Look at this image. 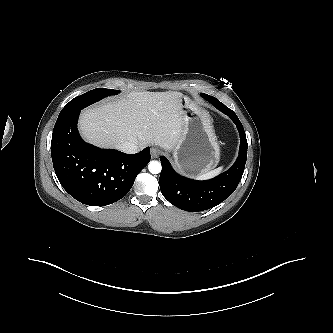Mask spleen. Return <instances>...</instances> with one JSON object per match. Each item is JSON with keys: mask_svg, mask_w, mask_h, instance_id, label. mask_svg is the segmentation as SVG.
Here are the masks:
<instances>
[{"mask_svg": "<svg viewBox=\"0 0 333 333\" xmlns=\"http://www.w3.org/2000/svg\"><path fill=\"white\" fill-rule=\"evenodd\" d=\"M223 170V167H219L217 169L205 172L199 176L196 177L197 180H206V179H210L212 177H215L217 175H219Z\"/></svg>", "mask_w": 333, "mask_h": 333, "instance_id": "spleen-1", "label": "spleen"}]
</instances>
